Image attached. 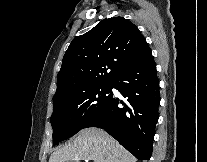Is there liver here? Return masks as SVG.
I'll list each match as a JSON object with an SVG mask.
<instances>
[{"label": "liver", "instance_id": "6515ba94", "mask_svg": "<svg viewBox=\"0 0 207 162\" xmlns=\"http://www.w3.org/2000/svg\"><path fill=\"white\" fill-rule=\"evenodd\" d=\"M137 162L136 158L102 129H82L62 148L54 151L49 162Z\"/></svg>", "mask_w": 207, "mask_h": 162}]
</instances>
